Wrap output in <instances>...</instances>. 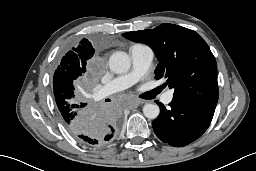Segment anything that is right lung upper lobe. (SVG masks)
Masks as SVG:
<instances>
[{
    "instance_id": "1",
    "label": "right lung upper lobe",
    "mask_w": 256,
    "mask_h": 171,
    "mask_svg": "<svg viewBox=\"0 0 256 171\" xmlns=\"http://www.w3.org/2000/svg\"><path fill=\"white\" fill-rule=\"evenodd\" d=\"M67 54L77 62L79 66L86 69V60L90 59L94 54V49L91 43L83 38L77 48H72ZM59 114L65 125L71 126L77 121V115L73 114V107L69 100H58L56 102Z\"/></svg>"
}]
</instances>
